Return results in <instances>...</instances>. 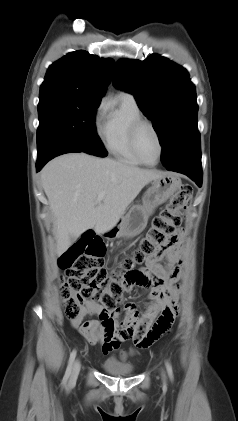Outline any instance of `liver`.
Here are the masks:
<instances>
[{
	"label": "liver",
	"instance_id": "6515ba94",
	"mask_svg": "<svg viewBox=\"0 0 238 421\" xmlns=\"http://www.w3.org/2000/svg\"><path fill=\"white\" fill-rule=\"evenodd\" d=\"M163 174L86 153L51 160L41 181L54 216L58 255L88 229L97 234L111 230L142 188ZM99 193H104L101 202Z\"/></svg>",
	"mask_w": 238,
	"mask_h": 421
}]
</instances>
